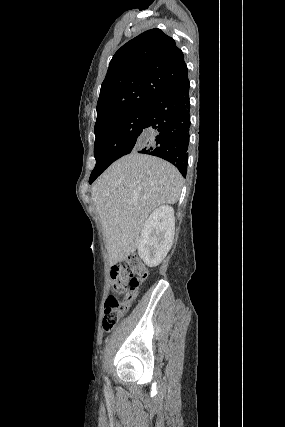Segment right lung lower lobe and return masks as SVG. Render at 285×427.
I'll return each instance as SVG.
<instances>
[{"mask_svg":"<svg viewBox=\"0 0 285 427\" xmlns=\"http://www.w3.org/2000/svg\"><path fill=\"white\" fill-rule=\"evenodd\" d=\"M189 80L165 92L146 106L139 153L160 157L186 177L190 128ZM101 173L98 172L92 183Z\"/></svg>","mask_w":285,"mask_h":427,"instance_id":"obj_1","label":"right lung lower lobe"}]
</instances>
